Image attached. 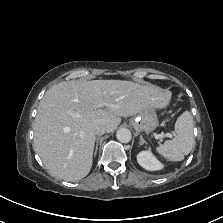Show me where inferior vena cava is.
<instances>
[{
    "label": "inferior vena cava",
    "instance_id": "1",
    "mask_svg": "<svg viewBox=\"0 0 223 223\" xmlns=\"http://www.w3.org/2000/svg\"><path fill=\"white\" fill-rule=\"evenodd\" d=\"M93 132L95 135H103L106 133V127L101 124L95 125L93 127Z\"/></svg>",
    "mask_w": 223,
    "mask_h": 223
}]
</instances>
